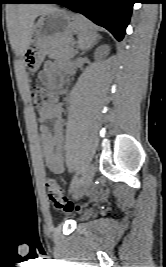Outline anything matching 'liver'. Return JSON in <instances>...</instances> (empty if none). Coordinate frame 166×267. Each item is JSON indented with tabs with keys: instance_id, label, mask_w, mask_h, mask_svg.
<instances>
[{
	"instance_id": "liver-1",
	"label": "liver",
	"mask_w": 166,
	"mask_h": 267,
	"mask_svg": "<svg viewBox=\"0 0 166 267\" xmlns=\"http://www.w3.org/2000/svg\"><path fill=\"white\" fill-rule=\"evenodd\" d=\"M57 8L44 4L20 5L12 19L11 44L21 54L28 49L34 30V21Z\"/></svg>"
}]
</instances>
